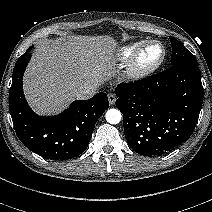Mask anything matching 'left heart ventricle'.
Returning a JSON list of instances; mask_svg holds the SVG:
<instances>
[{"label": "left heart ventricle", "instance_id": "1", "mask_svg": "<svg viewBox=\"0 0 212 212\" xmlns=\"http://www.w3.org/2000/svg\"><path fill=\"white\" fill-rule=\"evenodd\" d=\"M161 50L158 46L149 47L141 56L142 64H149L160 56Z\"/></svg>", "mask_w": 212, "mask_h": 212}]
</instances>
